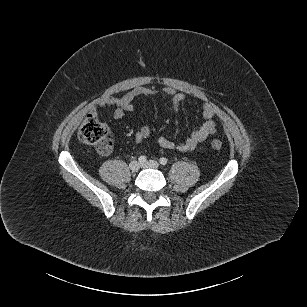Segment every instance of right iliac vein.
Instances as JSON below:
<instances>
[{"mask_svg":"<svg viewBox=\"0 0 307 307\" xmlns=\"http://www.w3.org/2000/svg\"><path fill=\"white\" fill-rule=\"evenodd\" d=\"M129 168L132 172H137L140 168V164L137 161H132L129 164Z\"/></svg>","mask_w":307,"mask_h":307,"instance_id":"1","label":"right iliac vein"}]
</instances>
